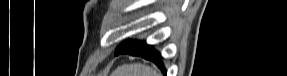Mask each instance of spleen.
<instances>
[{
	"instance_id": "spleen-1",
	"label": "spleen",
	"mask_w": 287,
	"mask_h": 76,
	"mask_svg": "<svg viewBox=\"0 0 287 76\" xmlns=\"http://www.w3.org/2000/svg\"><path fill=\"white\" fill-rule=\"evenodd\" d=\"M111 76H159V74L150 66L134 63L117 67Z\"/></svg>"
}]
</instances>
